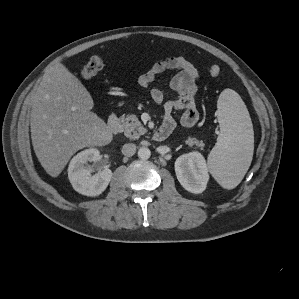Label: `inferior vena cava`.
<instances>
[{"instance_id":"602c4592","label":"inferior vena cava","mask_w":299,"mask_h":299,"mask_svg":"<svg viewBox=\"0 0 299 299\" xmlns=\"http://www.w3.org/2000/svg\"><path fill=\"white\" fill-rule=\"evenodd\" d=\"M136 152V145L133 144V143H127V144H124L123 147H122V153L125 155V156H133Z\"/></svg>"}]
</instances>
